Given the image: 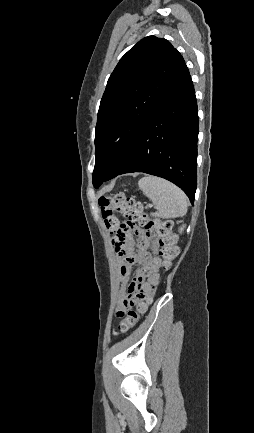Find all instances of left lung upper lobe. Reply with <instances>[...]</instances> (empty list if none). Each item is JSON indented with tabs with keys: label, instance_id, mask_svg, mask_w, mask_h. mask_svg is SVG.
Wrapping results in <instances>:
<instances>
[{
	"label": "left lung upper lobe",
	"instance_id": "obj_1",
	"mask_svg": "<svg viewBox=\"0 0 254 433\" xmlns=\"http://www.w3.org/2000/svg\"><path fill=\"white\" fill-rule=\"evenodd\" d=\"M184 63L169 41L155 36L145 37L120 59L98 111L94 187L98 188L124 162Z\"/></svg>",
	"mask_w": 254,
	"mask_h": 433
}]
</instances>
